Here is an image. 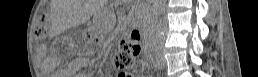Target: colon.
<instances>
[{
    "label": "colon",
    "mask_w": 258,
    "mask_h": 77,
    "mask_svg": "<svg viewBox=\"0 0 258 77\" xmlns=\"http://www.w3.org/2000/svg\"><path fill=\"white\" fill-rule=\"evenodd\" d=\"M48 29V16L46 13H41L35 28L36 37H45L48 33ZM137 44L138 40L135 39L133 35L121 42L114 57V64L118 69H130L133 66V52Z\"/></svg>",
    "instance_id": "5ec220e1"
}]
</instances>
